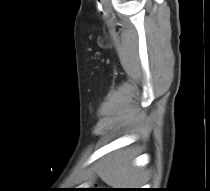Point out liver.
<instances>
[{"label":"liver","instance_id":"1","mask_svg":"<svg viewBox=\"0 0 210 191\" xmlns=\"http://www.w3.org/2000/svg\"><path fill=\"white\" fill-rule=\"evenodd\" d=\"M134 158L135 155L130 150L116 151L100 161L97 173L106 184L114 188L137 186L142 181V173L133 164Z\"/></svg>","mask_w":210,"mask_h":191}]
</instances>
